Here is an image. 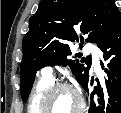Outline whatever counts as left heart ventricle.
<instances>
[{
    "mask_svg": "<svg viewBox=\"0 0 121 113\" xmlns=\"http://www.w3.org/2000/svg\"><path fill=\"white\" fill-rule=\"evenodd\" d=\"M76 104L75 96L69 91L62 90L54 97L52 109L57 112H69Z\"/></svg>",
    "mask_w": 121,
    "mask_h": 113,
    "instance_id": "1",
    "label": "left heart ventricle"
}]
</instances>
